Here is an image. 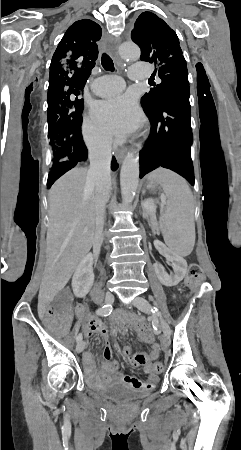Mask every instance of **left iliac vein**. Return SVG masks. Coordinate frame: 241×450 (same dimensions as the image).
Returning a JSON list of instances; mask_svg holds the SVG:
<instances>
[{"mask_svg": "<svg viewBox=\"0 0 241 450\" xmlns=\"http://www.w3.org/2000/svg\"><path fill=\"white\" fill-rule=\"evenodd\" d=\"M136 308L144 313L152 314L151 306L144 297H136L132 303ZM153 321L157 323L158 327L162 330L163 336L161 338L162 342L165 343L170 339L171 329L170 326L162 319L157 316L153 317Z\"/></svg>", "mask_w": 241, "mask_h": 450, "instance_id": "left-iliac-vein-1", "label": "left iliac vein"}]
</instances>
